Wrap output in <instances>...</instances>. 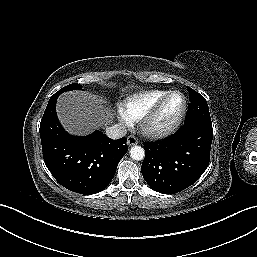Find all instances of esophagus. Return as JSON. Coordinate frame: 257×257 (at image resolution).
Segmentation results:
<instances>
[{"label":"esophagus","mask_w":257,"mask_h":257,"mask_svg":"<svg viewBox=\"0 0 257 257\" xmlns=\"http://www.w3.org/2000/svg\"><path fill=\"white\" fill-rule=\"evenodd\" d=\"M136 144H138V139L135 136L130 135L127 137V145L128 146H134Z\"/></svg>","instance_id":"34e87169"}]
</instances>
